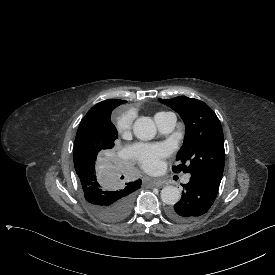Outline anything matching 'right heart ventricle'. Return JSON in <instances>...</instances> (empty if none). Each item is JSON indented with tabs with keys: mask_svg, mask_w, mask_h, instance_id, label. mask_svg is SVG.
<instances>
[{
	"mask_svg": "<svg viewBox=\"0 0 275 275\" xmlns=\"http://www.w3.org/2000/svg\"><path fill=\"white\" fill-rule=\"evenodd\" d=\"M165 113H167V112H160V113H158L157 115H159V114H165Z\"/></svg>",
	"mask_w": 275,
	"mask_h": 275,
	"instance_id": "e07e8e85",
	"label": "right heart ventricle"
}]
</instances>
